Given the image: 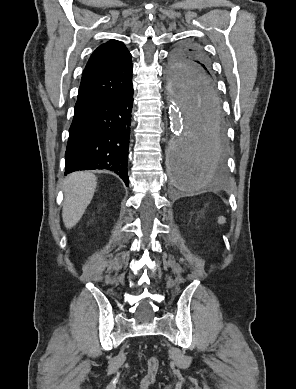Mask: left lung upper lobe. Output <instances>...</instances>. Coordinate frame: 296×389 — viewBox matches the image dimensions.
I'll return each mask as SVG.
<instances>
[{
    "mask_svg": "<svg viewBox=\"0 0 296 389\" xmlns=\"http://www.w3.org/2000/svg\"><path fill=\"white\" fill-rule=\"evenodd\" d=\"M170 74L177 86L189 84L197 76L214 81L210 63L204 52L196 45H184L177 48L172 55L169 66ZM201 104V97L194 96Z\"/></svg>",
    "mask_w": 296,
    "mask_h": 389,
    "instance_id": "obj_1",
    "label": "left lung upper lobe"
}]
</instances>
